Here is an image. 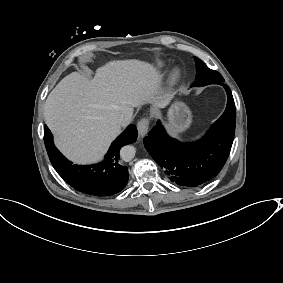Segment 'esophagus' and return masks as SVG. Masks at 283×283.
<instances>
[{
  "label": "esophagus",
  "instance_id": "34e87169",
  "mask_svg": "<svg viewBox=\"0 0 283 283\" xmlns=\"http://www.w3.org/2000/svg\"><path fill=\"white\" fill-rule=\"evenodd\" d=\"M148 127H149L148 118H142L141 120H139L137 124V129H138V134L140 137H143L147 133Z\"/></svg>",
  "mask_w": 283,
  "mask_h": 283
}]
</instances>
